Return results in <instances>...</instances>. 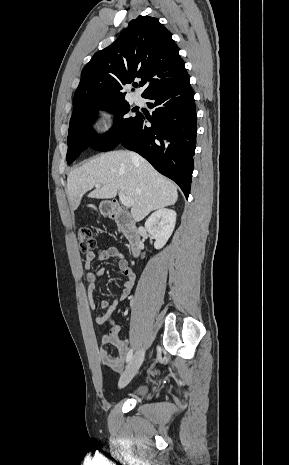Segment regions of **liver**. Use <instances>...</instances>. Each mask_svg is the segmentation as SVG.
<instances>
[{"mask_svg": "<svg viewBox=\"0 0 289 465\" xmlns=\"http://www.w3.org/2000/svg\"><path fill=\"white\" fill-rule=\"evenodd\" d=\"M96 185H99L97 187ZM111 199L122 192L133 200L131 215L141 221L151 211L176 203V185L158 173L145 159L133 162L129 151H111L100 154L81 167L73 170L67 178V192L72 210L80 205L83 195Z\"/></svg>", "mask_w": 289, "mask_h": 465, "instance_id": "obj_1", "label": "liver"}]
</instances>
